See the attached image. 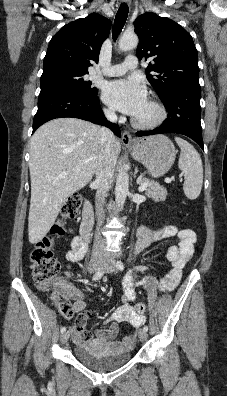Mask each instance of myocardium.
<instances>
[{"label": "myocardium", "instance_id": "f54148a6", "mask_svg": "<svg viewBox=\"0 0 227 396\" xmlns=\"http://www.w3.org/2000/svg\"><path fill=\"white\" fill-rule=\"evenodd\" d=\"M149 103L156 110V116L149 121H141L136 118H133L131 122L134 127L144 130L154 129L160 126L166 120L167 110L164 104L157 99H150Z\"/></svg>", "mask_w": 227, "mask_h": 396}]
</instances>
